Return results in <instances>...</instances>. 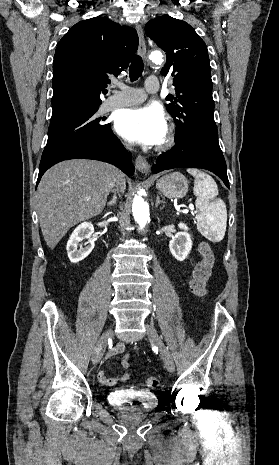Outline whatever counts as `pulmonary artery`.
Returning <instances> with one entry per match:
<instances>
[{"instance_id":"1","label":"pulmonary artery","mask_w":279,"mask_h":465,"mask_svg":"<svg viewBox=\"0 0 279 465\" xmlns=\"http://www.w3.org/2000/svg\"><path fill=\"white\" fill-rule=\"evenodd\" d=\"M159 89L157 77L150 76L145 82L144 89L123 87L121 91H115L103 104L104 111L138 104L146 99L147 93H155Z\"/></svg>"}]
</instances>
